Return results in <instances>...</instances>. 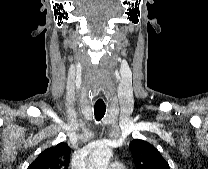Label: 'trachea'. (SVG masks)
Wrapping results in <instances>:
<instances>
[{
    "label": "trachea",
    "mask_w": 208,
    "mask_h": 169,
    "mask_svg": "<svg viewBox=\"0 0 208 169\" xmlns=\"http://www.w3.org/2000/svg\"><path fill=\"white\" fill-rule=\"evenodd\" d=\"M106 112V105H95L94 106V115L97 121L101 120Z\"/></svg>",
    "instance_id": "obj_1"
}]
</instances>
